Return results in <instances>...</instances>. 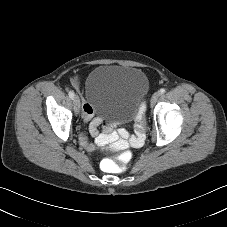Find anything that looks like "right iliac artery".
I'll use <instances>...</instances> for the list:
<instances>
[{
	"instance_id": "1",
	"label": "right iliac artery",
	"mask_w": 227,
	"mask_h": 227,
	"mask_svg": "<svg viewBox=\"0 0 227 227\" xmlns=\"http://www.w3.org/2000/svg\"><path fill=\"white\" fill-rule=\"evenodd\" d=\"M68 94H69V97L71 99H74V92L73 91H69Z\"/></svg>"
}]
</instances>
